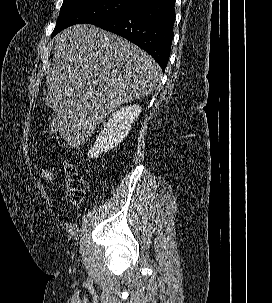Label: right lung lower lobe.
<instances>
[{
	"mask_svg": "<svg viewBox=\"0 0 272 303\" xmlns=\"http://www.w3.org/2000/svg\"><path fill=\"white\" fill-rule=\"evenodd\" d=\"M175 0H153L93 25L120 35L149 53L165 70L173 40Z\"/></svg>",
	"mask_w": 272,
	"mask_h": 303,
	"instance_id": "right-lung-lower-lobe-1",
	"label": "right lung lower lobe"
}]
</instances>
